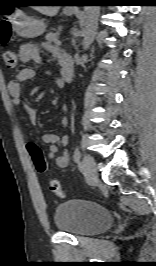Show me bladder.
Returning <instances> with one entry per match:
<instances>
[{
  "mask_svg": "<svg viewBox=\"0 0 156 266\" xmlns=\"http://www.w3.org/2000/svg\"><path fill=\"white\" fill-rule=\"evenodd\" d=\"M113 217L104 206L86 200L73 199L59 204L54 212L56 228L74 236H89L111 226Z\"/></svg>",
  "mask_w": 156,
  "mask_h": 266,
  "instance_id": "bladder-1",
  "label": "bladder"
}]
</instances>
